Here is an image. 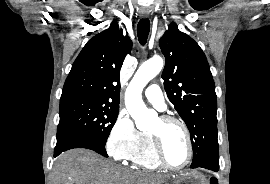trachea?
I'll return each instance as SVG.
<instances>
[{
	"label": "trachea",
	"mask_w": 270,
	"mask_h": 184,
	"mask_svg": "<svg viewBox=\"0 0 270 184\" xmlns=\"http://www.w3.org/2000/svg\"><path fill=\"white\" fill-rule=\"evenodd\" d=\"M150 31V21L148 19H140L137 25V35L139 42L145 45Z\"/></svg>",
	"instance_id": "obj_1"
}]
</instances>
